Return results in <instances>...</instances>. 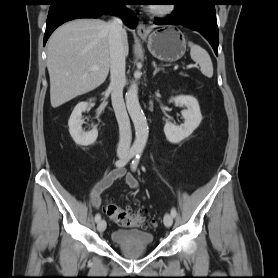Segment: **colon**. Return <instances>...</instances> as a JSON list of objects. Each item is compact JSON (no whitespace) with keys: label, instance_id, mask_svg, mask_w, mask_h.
<instances>
[{"label":"colon","instance_id":"colon-1","mask_svg":"<svg viewBox=\"0 0 278 278\" xmlns=\"http://www.w3.org/2000/svg\"><path fill=\"white\" fill-rule=\"evenodd\" d=\"M106 214L118 225L128 228H147L154 225L148 214L144 211H131L124 209L113 202L105 206Z\"/></svg>","mask_w":278,"mask_h":278}]
</instances>
